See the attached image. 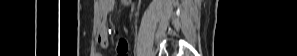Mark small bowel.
<instances>
[{
    "label": "small bowel",
    "instance_id": "obj_1",
    "mask_svg": "<svg viewBox=\"0 0 297 56\" xmlns=\"http://www.w3.org/2000/svg\"><path fill=\"white\" fill-rule=\"evenodd\" d=\"M114 0H101L99 1L100 9V21L98 27V43L102 48H107L109 46V35L107 26V15L113 10ZM118 56H127L128 43L126 40L121 39L116 46ZM100 56V54H96Z\"/></svg>",
    "mask_w": 297,
    "mask_h": 56
}]
</instances>
